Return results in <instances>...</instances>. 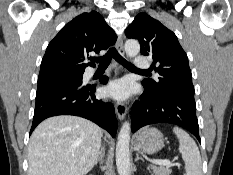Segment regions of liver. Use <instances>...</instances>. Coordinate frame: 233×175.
<instances>
[{
  "label": "liver",
  "mask_w": 233,
  "mask_h": 175,
  "mask_svg": "<svg viewBox=\"0 0 233 175\" xmlns=\"http://www.w3.org/2000/svg\"><path fill=\"white\" fill-rule=\"evenodd\" d=\"M102 130L70 115L50 117L31 135L28 175H86L100 153Z\"/></svg>",
  "instance_id": "1"
}]
</instances>
